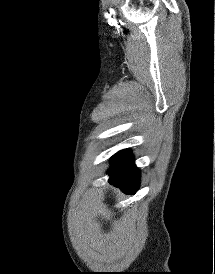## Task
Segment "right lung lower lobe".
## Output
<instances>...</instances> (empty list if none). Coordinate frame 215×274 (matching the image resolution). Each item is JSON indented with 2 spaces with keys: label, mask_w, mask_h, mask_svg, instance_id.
<instances>
[{
  "label": "right lung lower lobe",
  "mask_w": 215,
  "mask_h": 274,
  "mask_svg": "<svg viewBox=\"0 0 215 274\" xmlns=\"http://www.w3.org/2000/svg\"><path fill=\"white\" fill-rule=\"evenodd\" d=\"M110 183L120 188L125 194H135L138 189L140 172L130 154L110 168Z\"/></svg>",
  "instance_id": "obj_1"
}]
</instances>
